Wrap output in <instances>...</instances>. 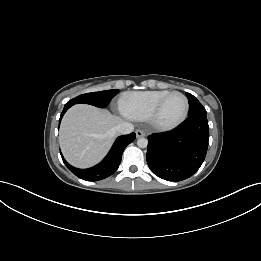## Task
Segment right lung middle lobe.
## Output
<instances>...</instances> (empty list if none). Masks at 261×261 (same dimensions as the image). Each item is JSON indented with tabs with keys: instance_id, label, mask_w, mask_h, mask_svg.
Returning <instances> with one entry per match:
<instances>
[{
	"instance_id": "1",
	"label": "right lung middle lobe",
	"mask_w": 261,
	"mask_h": 261,
	"mask_svg": "<svg viewBox=\"0 0 261 261\" xmlns=\"http://www.w3.org/2000/svg\"><path fill=\"white\" fill-rule=\"evenodd\" d=\"M118 93L117 89L105 90L100 92H92L87 94L79 95L70 101H68L65 106H73L78 103H86L96 107L104 108L106 107L111 99Z\"/></svg>"
}]
</instances>
